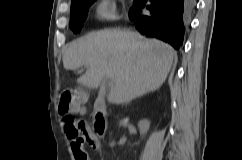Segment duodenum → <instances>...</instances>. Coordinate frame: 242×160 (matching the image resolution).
Segmentation results:
<instances>
[{"instance_id": "410a0bca", "label": "duodenum", "mask_w": 242, "mask_h": 160, "mask_svg": "<svg viewBox=\"0 0 242 160\" xmlns=\"http://www.w3.org/2000/svg\"><path fill=\"white\" fill-rule=\"evenodd\" d=\"M92 117L91 133L96 140H100L107 130V108L101 97H97L94 101Z\"/></svg>"}]
</instances>
